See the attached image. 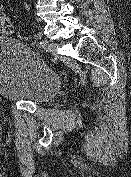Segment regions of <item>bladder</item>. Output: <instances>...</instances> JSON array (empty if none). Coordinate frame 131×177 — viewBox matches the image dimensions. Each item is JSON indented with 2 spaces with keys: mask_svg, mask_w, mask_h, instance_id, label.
Here are the masks:
<instances>
[{
  "mask_svg": "<svg viewBox=\"0 0 131 177\" xmlns=\"http://www.w3.org/2000/svg\"><path fill=\"white\" fill-rule=\"evenodd\" d=\"M61 87L60 78L31 50L13 38L0 41V96L42 105Z\"/></svg>",
  "mask_w": 131,
  "mask_h": 177,
  "instance_id": "bladder-1",
  "label": "bladder"
}]
</instances>
